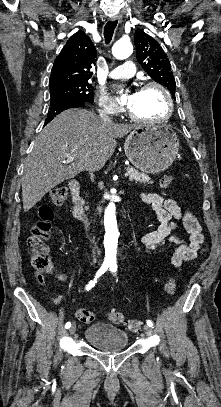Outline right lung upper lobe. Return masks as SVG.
<instances>
[{"label":"right lung upper lobe","mask_w":221,"mask_h":407,"mask_svg":"<svg viewBox=\"0 0 221 407\" xmlns=\"http://www.w3.org/2000/svg\"><path fill=\"white\" fill-rule=\"evenodd\" d=\"M96 49L90 38L78 31L72 35L55 59L49 80L50 90L86 82L92 76Z\"/></svg>","instance_id":"obj_1"}]
</instances>
